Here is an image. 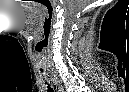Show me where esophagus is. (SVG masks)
<instances>
[{
    "mask_svg": "<svg viewBox=\"0 0 129 92\" xmlns=\"http://www.w3.org/2000/svg\"><path fill=\"white\" fill-rule=\"evenodd\" d=\"M56 85V89L58 92H63V88L61 87V85L58 82H55Z\"/></svg>",
    "mask_w": 129,
    "mask_h": 92,
    "instance_id": "esophagus-1",
    "label": "esophagus"
}]
</instances>
